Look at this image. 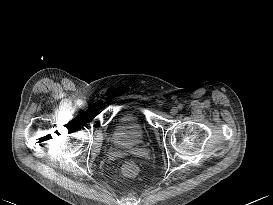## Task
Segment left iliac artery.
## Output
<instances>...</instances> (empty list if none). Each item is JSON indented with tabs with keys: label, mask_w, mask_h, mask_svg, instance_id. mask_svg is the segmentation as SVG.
I'll return each instance as SVG.
<instances>
[{
	"label": "left iliac artery",
	"mask_w": 273,
	"mask_h": 205,
	"mask_svg": "<svg viewBox=\"0 0 273 205\" xmlns=\"http://www.w3.org/2000/svg\"><path fill=\"white\" fill-rule=\"evenodd\" d=\"M178 108L181 110V109H183V105L182 104H179L178 105Z\"/></svg>",
	"instance_id": "44dca946"
}]
</instances>
